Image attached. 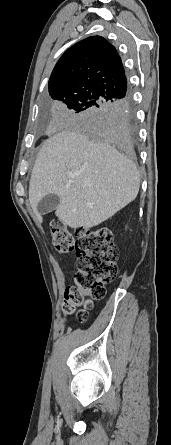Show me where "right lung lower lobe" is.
<instances>
[{"instance_id": "obj_1", "label": "right lung lower lobe", "mask_w": 171, "mask_h": 445, "mask_svg": "<svg viewBox=\"0 0 171 445\" xmlns=\"http://www.w3.org/2000/svg\"><path fill=\"white\" fill-rule=\"evenodd\" d=\"M96 118L101 139L132 153L134 127L130 96L122 100H107Z\"/></svg>"}]
</instances>
